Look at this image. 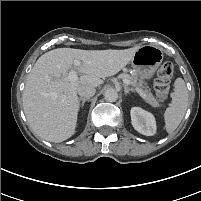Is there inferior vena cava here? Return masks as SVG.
Returning <instances> with one entry per match:
<instances>
[{"label": "inferior vena cava", "mask_w": 201, "mask_h": 201, "mask_svg": "<svg viewBox=\"0 0 201 201\" xmlns=\"http://www.w3.org/2000/svg\"><path fill=\"white\" fill-rule=\"evenodd\" d=\"M96 93V89L91 86H80L78 88V94L82 99H89L94 96Z\"/></svg>", "instance_id": "inferior-vena-cava-1"}]
</instances>
